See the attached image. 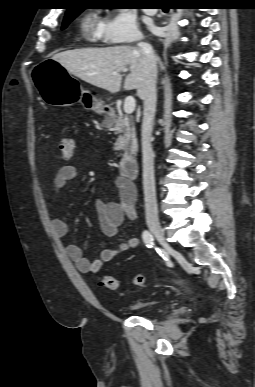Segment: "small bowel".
Instances as JSON below:
<instances>
[{
  "instance_id": "c3829d8e",
  "label": "small bowel",
  "mask_w": 255,
  "mask_h": 387,
  "mask_svg": "<svg viewBox=\"0 0 255 387\" xmlns=\"http://www.w3.org/2000/svg\"><path fill=\"white\" fill-rule=\"evenodd\" d=\"M62 160L70 158L61 157ZM77 167L75 165H63L56 172L53 178V190L58 193L65 187L68 181L73 180L77 176ZM116 186L118 189V200L108 201L101 198L96 199L95 209L98 216L99 226L102 233L110 238L118 235V230L124 219L135 220L137 211L135 207L136 191L132 183L117 179ZM54 234L58 238H63L67 235L68 224L59 216H55L51 221ZM139 240L136 237L128 238L122 241L115 248H105L101 250L99 256L95 260H90L85 257L82 249L75 244H65L64 248L73 261L78 271L81 273H98L105 263L112 261L118 255L137 248Z\"/></svg>"
}]
</instances>
